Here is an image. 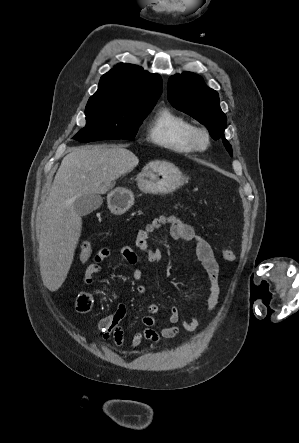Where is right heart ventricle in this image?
<instances>
[{"mask_svg": "<svg viewBox=\"0 0 299 443\" xmlns=\"http://www.w3.org/2000/svg\"><path fill=\"white\" fill-rule=\"evenodd\" d=\"M195 126L185 116L164 107L150 123L148 139L155 145L175 153L194 152L189 143V135Z\"/></svg>", "mask_w": 299, "mask_h": 443, "instance_id": "e07e8e85", "label": "right heart ventricle"}]
</instances>
